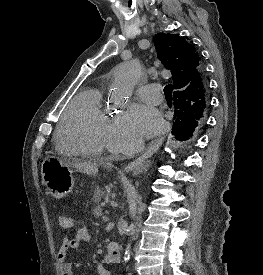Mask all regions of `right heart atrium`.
Listing matches in <instances>:
<instances>
[{"mask_svg": "<svg viewBox=\"0 0 263 275\" xmlns=\"http://www.w3.org/2000/svg\"><path fill=\"white\" fill-rule=\"evenodd\" d=\"M138 139L132 135L126 126L123 116L110 120L107 128V146L112 151H125L135 147Z\"/></svg>", "mask_w": 263, "mask_h": 275, "instance_id": "obj_1", "label": "right heart atrium"}]
</instances>
